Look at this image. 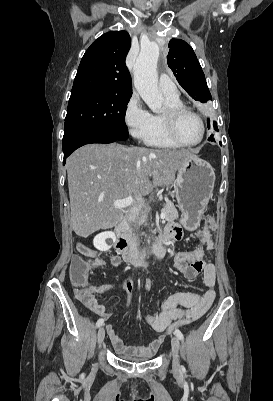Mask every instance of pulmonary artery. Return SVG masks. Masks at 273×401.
<instances>
[{
    "label": "pulmonary artery",
    "mask_w": 273,
    "mask_h": 401,
    "mask_svg": "<svg viewBox=\"0 0 273 401\" xmlns=\"http://www.w3.org/2000/svg\"><path fill=\"white\" fill-rule=\"evenodd\" d=\"M162 80L163 81L161 83V86L163 88L162 89L163 94L168 97L176 96L178 94V91L176 89L177 86L176 81L171 80V77L168 74L163 75Z\"/></svg>",
    "instance_id": "obj_1"
}]
</instances>
